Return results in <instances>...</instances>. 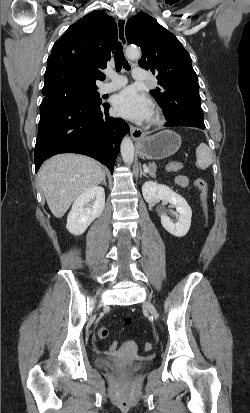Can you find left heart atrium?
I'll return each mask as SVG.
<instances>
[{
    "mask_svg": "<svg viewBox=\"0 0 250 413\" xmlns=\"http://www.w3.org/2000/svg\"><path fill=\"white\" fill-rule=\"evenodd\" d=\"M116 113L125 118L142 122L149 120L152 114L151 101L135 88L128 87L115 96L113 101Z\"/></svg>",
    "mask_w": 250,
    "mask_h": 413,
    "instance_id": "39dd6f15",
    "label": "left heart atrium"
}]
</instances>
